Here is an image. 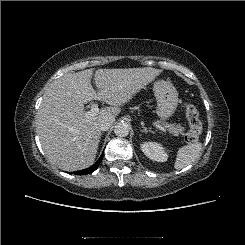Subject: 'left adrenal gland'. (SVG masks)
Masks as SVG:
<instances>
[{
    "mask_svg": "<svg viewBox=\"0 0 245 245\" xmlns=\"http://www.w3.org/2000/svg\"><path fill=\"white\" fill-rule=\"evenodd\" d=\"M142 130H141V132H143V133H147V132H152L150 129L148 130L144 125H142Z\"/></svg>",
    "mask_w": 245,
    "mask_h": 245,
    "instance_id": "1",
    "label": "left adrenal gland"
}]
</instances>
